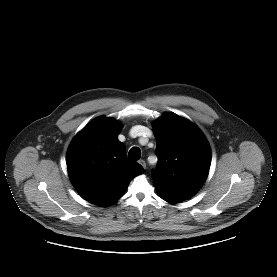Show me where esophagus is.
<instances>
[{
    "instance_id": "obj_1",
    "label": "esophagus",
    "mask_w": 277,
    "mask_h": 277,
    "mask_svg": "<svg viewBox=\"0 0 277 277\" xmlns=\"http://www.w3.org/2000/svg\"><path fill=\"white\" fill-rule=\"evenodd\" d=\"M139 162V164L145 169L146 168V163H145V161L144 160H139L138 161Z\"/></svg>"
}]
</instances>
